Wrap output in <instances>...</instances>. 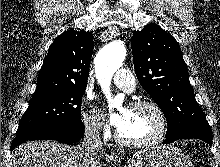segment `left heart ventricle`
<instances>
[{"label":"left heart ventricle","instance_id":"b2bd125f","mask_svg":"<svg viewBox=\"0 0 220 167\" xmlns=\"http://www.w3.org/2000/svg\"><path fill=\"white\" fill-rule=\"evenodd\" d=\"M125 112L124 125L119 129L125 139L141 141L152 137L158 131L159 121L152 110L130 108Z\"/></svg>","mask_w":220,"mask_h":167}]
</instances>
